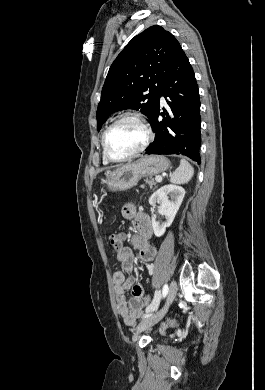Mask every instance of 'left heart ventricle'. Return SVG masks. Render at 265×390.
<instances>
[{
  "mask_svg": "<svg viewBox=\"0 0 265 390\" xmlns=\"http://www.w3.org/2000/svg\"><path fill=\"white\" fill-rule=\"evenodd\" d=\"M144 138V131L136 122L123 121L110 131L107 138L108 151L113 157H124L136 150Z\"/></svg>",
  "mask_w": 265,
  "mask_h": 390,
  "instance_id": "left-heart-ventricle-1",
  "label": "left heart ventricle"
}]
</instances>
